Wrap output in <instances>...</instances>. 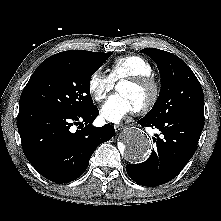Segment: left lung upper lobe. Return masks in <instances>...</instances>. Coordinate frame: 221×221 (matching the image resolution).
Listing matches in <instances>:
<instances>
[{
  "label": "left lung upper lobe",
  "mask_w": 221,
  "mask_h": 221,
  "mask_svg": "<svg viewBox=\"0 0 221 221\" xmlns=\"http://www.w3.org/2000/svg\"><path fill=\"white\" fill-rule=\"evenodd\" d=\"M141 52L154 60L161 77L159 97L145 118L158 121L185 115L204 121L203 90L187 64L167 51L145 48Z\"/></svg>",
  "instance_id": "1"
}]
</instances>
